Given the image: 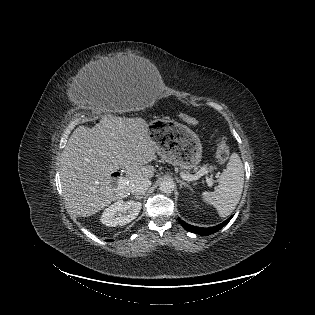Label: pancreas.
<instances>
[{
	"label": "pancreas",
	"mask_w": 315,
	"mask_h": 315,
	"mask_svg": "<svg viewBox=\"0 0 315 315\" xmlns=\"http://www.w3.org/2000/svg\"><path fill=\"white\" fill-rule=\"evenodd\" d=\"M201 169H204V170H207V171H212V170L215 169V166L206 164V165H203V166L201 167ZM185 172H186V174H188V171H185Z\"/></svg>",
	"instance_id": "obj_1"
}]
</instances>
